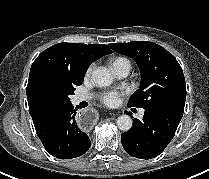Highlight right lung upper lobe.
Here are the masks:
<instances>
[{
    "label": "right lung upper lobe",
    "mask_w": 209,
    "mask_h": 179,
    "mask_svg": "<svg viewBox=\"0 0 209 179\" xmlns=\"http://www.w3.org/2000/svg\"><path fill=\"white\" fill-rule=\"evenodd\" d=\"M104 44L59 43L43 51L33 62L27 85L29 112L34 124L41 115L36 103V91L43 81L74 84L82 79L91 63L111 53Z\"/></svg>",
    "instance_id": "cb5924a9"
}]
</instances>
